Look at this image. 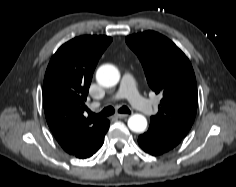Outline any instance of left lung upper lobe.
<instances>
[{
  "label": "left lung upper lobe",
  "mask_w": 236,
  "mask_h": 187,
  "mask_svg": "<svg viewBox=\"0 0 236 187\" xmlns=\"http://www.w3.org/2000/svg\"><path fill=\"white\" fill-rule=\"evenodd\" d=\"M126 43L141 61L151 89L163 94L158 114L151 117L150 124L185 137L198 105L196 78L189 59L172 41L154 31L130 35Z\"/></svg>",
  "instance_id": "left-lung-upper-lobe-1"
}]
</instances>
